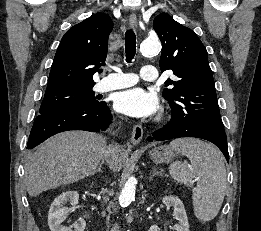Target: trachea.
<instances>
[{
    "label": "trachea",
    "instance_id": "obj_1",
    "mask_svg": "<svg viewBox=\"0 0 261 231\" xmlns=\"http://www.w3.org/2000/svg\"><path fill=\"white\" fill-rule=\"evenodd\" d=\"M125 53L126 61L130 63L136 53V36L132 29H129L125 33Z\"/></svg>",
    "mask_w": 261,
    "mask_h": 231
}]
</instances>
